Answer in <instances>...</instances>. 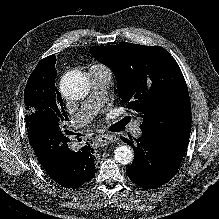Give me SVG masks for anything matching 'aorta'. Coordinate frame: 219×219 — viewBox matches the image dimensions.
Here are the masks:
<instances>
[{
	"label": "aorta",
	"mask_w": 219,
	"mask_h": 219,
	"mask_svg": "<svg viewBox=\"0 0 219 219\" xmlns=\"http://www.w3.org/2000/svg\"><path fill=\"white\" fill-rule=\"evenodd\" d=\"M60 88L67 99L80 100L88 94L90 83L88 77L84 73L79 72L75 75L64 77ZM114 157L118 163L127 165L133 161L134 152L131 147L120 145L115 149Z\"/></svg>",
	"instance_id": "1"
}]
</instances>
